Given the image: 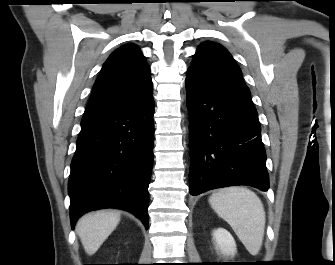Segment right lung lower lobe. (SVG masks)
I'll use <instances>...</instances> for the list:
<instances>
[{"mask_svg": "<svg viewBox=\"0 0 335 265\" xmlns=\"http://www.w3.org/2000/svg\"><path fill=\"white\" fill-rule=\"evenodd\" d=\"M154 101L84 114L68 182L72 228L84 213L118 208L148 228Z\"/></svg>", "mask_w": 335, "mask_h": 265, "instance_id": "1", "label": "right lung lower lobe"}]
</instances>
